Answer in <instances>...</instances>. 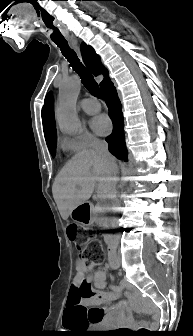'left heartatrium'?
Returning a JSON list of instances; mask_svg holds the SVG:
<instances>
[{"label":"left heart atrium","instance_id":"left-heart-atrium-1","mask_svg":"<svg viewBox=\"0 0 193 336\" xmlns=\"http://www.w3.org/2000/svg\"><path fill=\"white\" fill-rule=\"evenodd\" d=\"M91 127L97 134L105 135L110 132L112 124L109 117L102 114L92 119Z\"/></svg>","mask_w":193,"mask_h":336}]
</instances>
